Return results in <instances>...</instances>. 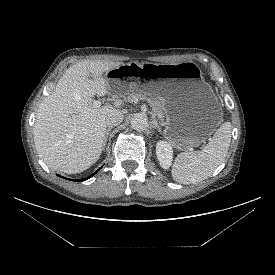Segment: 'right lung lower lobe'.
<instances>
[{"label":"right lung lower lobe","instance_id":"1","mask_svg":"<svg viewBox=\"0 0 275 275\" xmlns=\"http://www.w3.org/2000/svg\"><path fill=\"white\" fill-rule=\"evenodd\" d=\"M96 172H97V171H96ZM96 172H95V173H96ZM95 173H94V174H95ZM94 174H92L90 177H92ZM90 177H87V178H85V179H80L79 181L87 180V179H89ZM77 181H78V180H77Z\"/></svg>","mask_w":275,"mask_h":275}]
</instances>
